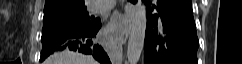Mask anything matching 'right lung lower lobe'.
Instances as JSON below:
<instances>
[{"label": "right lung lower lobe", "instance_id": "98d812e1", "mask_svg": "<svg viewBox=\"0 0 242 64\" xmlns=\"http://www.w3.org/2000/svg\"><path fill=\"white\" fill-rule=\"evenodd\" d=\"M100 27L101 25L99 24L97 27L87 32L64 37L51 42L41 51L40 61H44L54 51L68 49L93 55V57L101 64H111L106 52L94 41V37Z\"/></svg>", "mask_w": 242, "mask_h": 64}]
</instances>
